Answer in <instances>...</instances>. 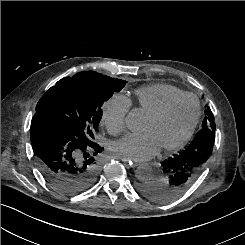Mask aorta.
Segmentation results:
<instances>
[{"mask_svg":"<svg viewBox=\"0 0 245 245\" xmlns=\"http://www.w3.org/2000/svg\"><path fill=\"white\" fill-rule=\"evenodd\" d=\"M127 127L131 131H137L142 126V115L138 109H132L126 119H125ZM136 177L140 181H147L152 179L153 177V169L151 166L147 164H143L139 166L136 170Z\"/></svg>","mask_w":245,"mask_h":245,"instance_id":"obj_1","label":"aorta"}]
</instances>
